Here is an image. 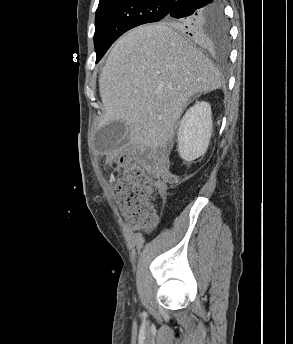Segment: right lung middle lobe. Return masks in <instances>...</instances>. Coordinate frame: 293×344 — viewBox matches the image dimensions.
I'll return each instance as SVG.
<instances>
[{
    "instance_id": "1",
    "label": "right lung middle lobe",
    "mask_w": 293,
    "mask_h": 344,
    "mask_svg": "<svg viewBox=\"0 0 293 344\" xmlns=\"http://www.w3.org/2000/svg\"><path fill=\"white\" fill-rule=\"evenodd\" d=\"M174 2L170 0H106L99 2L95 17L94 46L97 53L96 63L107 49L126 31L145 23L163 19L171 26L183 31L185 19L168 17ZM206 31L203 43L225 50L229 35L227 23L220 2L213 12L198 16Z\"/></svg>"
}]
</instances>
